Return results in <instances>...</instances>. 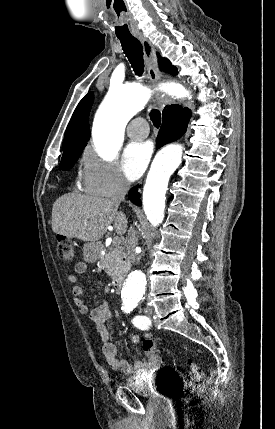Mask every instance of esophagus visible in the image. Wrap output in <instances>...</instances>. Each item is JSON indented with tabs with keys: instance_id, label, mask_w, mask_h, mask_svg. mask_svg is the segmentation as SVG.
I'll use <instances>...</instances> for the list:
<instances>
[{
	"instance_id": "esophagus-1",
	"label": "esophagus",
	"mask_w": 275,
	"mask_h": 429,
	"mask_svg": "<svg viewBox=\"0 0 275 429\" xmlns=\"http://www.w3.org/2000/svg\"><path fill=\"white\" fill-rule=\"evenodd\" d=\"M137 38L143 46L145 61H146L147 70H148V77L150 78L151 82L155 84L161 79V75L157 66L155 49L144 36L138 35ZM156 101L160 106V108L162 109L166 105L168 99L165 96V94L157 93Z\"/></svg>"
}]
</instances>
